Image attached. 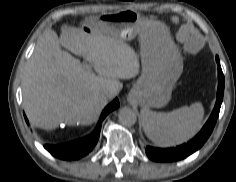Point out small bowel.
<instances>
[{
  "instance_id": "c3829d8e",
  "label": "small bowel",
  "mask_w": 236,
  "mask_h": 182,
  "mask_svg": "<svg viewBox=\"0 0 236 182\" xmlns=\"http://www.w3.org/2000/svg\"><path fill=\"white\" fill-rule=\"evenodd\" d=\"M188 50L193 51L195 49V46L193 44H188Z\"/></svg>"
}]
</instances>
